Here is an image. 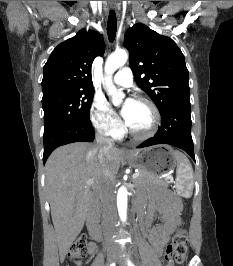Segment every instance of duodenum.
<instances>
[{
    "instance_id": "410a0bca",
    "label": "duodenum",
    "mask_w": 233,
    "mask_h": 266,
    "mask_svg": "<svg viewBox=\"0 0 233 266\" xmlns=\"http://www.w3.org/2000/svg\"><path fill=\"white\" fill-rule=\"evenodd\" d=\"M137 212L141 215V211L137 208ZM88 230L91 237L95 240L103 238L102 229L99 223V201L98 197H94L91 201L88 214Z\"/></svg>"
}]
</instances>
